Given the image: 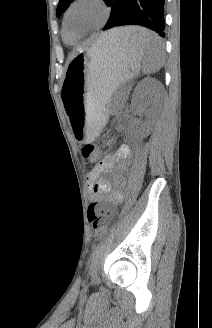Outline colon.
I'll return each mask as SVG.
<instances>
[{
    "label": "colon",
    "mask_w": 212,
    "mask_h": 328,
    "mask_svg": "<svg viewBox=\"0 0 212 328\" xmlns=\"http://www.w3.org/2000/svg\"><path fill=\"white\" fill-rule=\"evenodd\" d=\"M82 154L89 165L96 163L99 157L98 147L94 144H86L82 149ZM106 207L93 202L88 207V219L93 224L95 233L98 236H103L106 232V227L100 222L102 216L106 213Z\"/></svg>",
    "instance_id": "colon-1"
}]
</instances>
